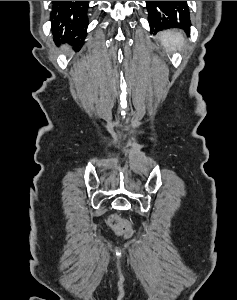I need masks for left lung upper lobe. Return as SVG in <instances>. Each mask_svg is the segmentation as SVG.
<instances>
[{"label":"left lung upper lobe","mask_w":237,"mask_h":300,"mask_svg":"<svg viewBox=\"0 0 237 300\" xmlns=\"http://www.w3.org/2000/svg\"><path fill=\"white\" fill-rule=\"evenodd\" d=\"M147 10L151 32L168 28L188 31L191 25L187 1H157L148 5Z\"/></svg>","instance_id":"obj_1"}]
</instances>
